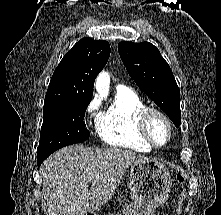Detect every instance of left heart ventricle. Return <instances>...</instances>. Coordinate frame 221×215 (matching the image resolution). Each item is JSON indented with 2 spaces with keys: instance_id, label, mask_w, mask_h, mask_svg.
I'll return each instance as SVG.
<instances>
[{
  "instance_id": "left-heart-ventricle-1",
  "label": "left heart ventricle",
  "mask_w": 221,
  "mask_h": 215,
  "mask_svg": "<svg viewBox=\"0 0 221 215\" xmlns=\"http://www.w3.org/2000/svg\"><path fill=\"white\" fill-rule=\"evenodd\" d=\"M149 129L156 143L163 144L166 141L168 130L166 124L161 118L153 116L150 121Z\"/></svg>"
}]
</instances>
